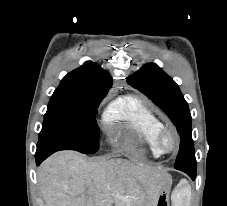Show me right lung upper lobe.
<instances>
[{"label":"right lung upper lobe","mask_w":227,"mask_h":206,"mask_svg":"<svg viewBox=\"0 0 227 206\" xmlns=\"http://www.w3.org/2000/svg\"><path fill=\"white\" fill-rule=\"evenodd\" d=\"M112 85V77L98 64L87 61L68 73L54 93L104 97Z\"/></svg>","instance_id":"1"}]
</instances>
